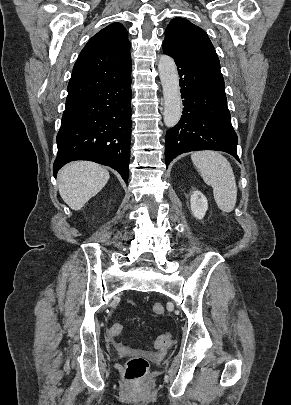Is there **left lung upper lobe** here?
Instances as JSON below:
<instances>
[{
	"label": "left lung upper lobe",
	"mask_w": 291,
	"mask_h": 405,
	"mask_svg": "<svg viewBox=\"0 0 291 405\" xmlns=\"http://www.w3.org/2000/svg\"><path fill=\"white\" fill-rule=\"evenodd\" d=\"M164 45L182 54L219 62L208 35L184 18H174L165 30Z\"/></svg>",
	"instance_id": "1"
}]
</instances>
